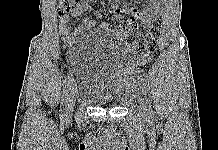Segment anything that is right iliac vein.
I'll return each instance as SVG.
<instances>
[{
    "mask_svg": "<svg viewBox=\"0 0 218 150\" xmlns=\"http://www.w3.org/2000/svg\"><path fill=\"white\" fill-rule=\"evenodd\" d=\"M77 94H78L77 86H76V84H73L72 88H71V91H70V95H69L68 103H67V106H66V110H65V115L66 116H69L72 113L73 108L75 106Z\"/></svg>",
    "mask_w": 218,
    "mask_h": 150,
    "instance_id": "1",
    "label": "right iliac vein"
}]
</instances>
